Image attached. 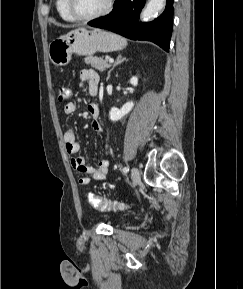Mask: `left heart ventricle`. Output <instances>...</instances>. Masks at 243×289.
<instances>
[{
    "label": "left heart ventricle",
    "mask_w": 243,
    "mask_h": 289,
    "mask_svg": "<svg viewBox=\"0 0 243 289\" xmlns=\"http://www.w3.org/2000/svg\"><path fill=\"white\" fill-rule=\"evenodd\" d=\"M107 0H74V9L81 16L94 15L106 6Z\"/></svg>",
    "instance_id": "b2bd125f"
}]
</instances>
